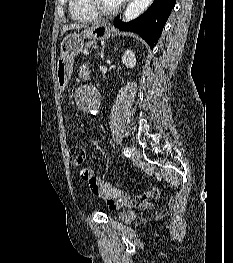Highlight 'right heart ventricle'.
<instances>
[{
    "instance_id": "right-heart-ventricle-1",
    "label": "right heart ventricle",
    "mask_w": 233,
    "mask_h": 263,
    "mask_svg": "<svg viewBox=\"0 0 233 263\" xmlns=\"http://www.w3.org/2000/svg\"><path fill=\"white\" fill-rule=\"evenodd\" d=\"M69 11L71 17L78 21H91L97 17L89 7L88 0H69Z\"/></svg>"
}]
</instances>
